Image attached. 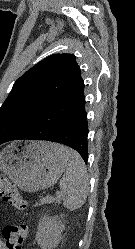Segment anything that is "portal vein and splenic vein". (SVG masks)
Masks as SVG:
<instances>
[{
    "instance_id": "portal-vein-and-splenic-vein-1",
    "label": "portal vein and splenic vein",
    "mask_w": 135,
    "mask_h": 249,
    "mask_svg": "<svg viewBox=\"0 0 135 249\" xmlns=\"http://www.w3.org/2000/svg\"><path fill=\"white\" fill-rule=\"evenodd\" d=\"M56 195H57V196H61V195H62V192H56Z\"/></svg>"
}]
</instances>
